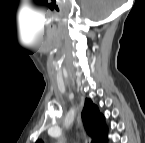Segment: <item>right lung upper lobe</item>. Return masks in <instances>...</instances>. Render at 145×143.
Returning <instances> with one entry per match:
<instances>
[{
    "instance_id": "obj_1",
    "label": "right lung upper lobe",
    "mask_w": 145,
    "mask_h": 143,
    "mask_svg": "<svg viewBox=\"0 0 145 143\" xmlns=\"http://www.w3.org/2000/svg\"><path fill=\"white\" fill-rule=\"evenodd\" d=\"M87 134L91 137V143H106L107 127L104 116L98 111L96 105L90 99L85 100V107L81 114ZM38 142L42 143L41 140Z\"/></svg>"
}]
</instances>
